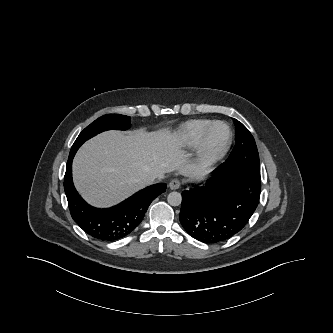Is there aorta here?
Masks as SVG:
<instances>
[{"label":"aorta","instance_id":"aorta-1","mask_svg":"<svg viewBox=\"0 0 333 333\" xmlns=\"http://www.w3.org/2000/svg\"><path fill=\"white\" fill-rule=\"evenodd\" d=\"M167 201L171 206H178L182 202V196L179 192H171L167 197Z\"/></svg>","mask_w":333,"mask_h":333}]
</instances>
